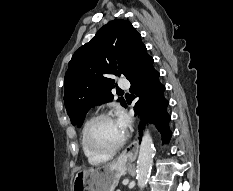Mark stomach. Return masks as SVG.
<instances>
[{
  "instance_id": "obj_1",
  "label": "stomach",
  "mask_w": 233,
  "mask_h": 191,
  "mask_svg": "<svg viewBox=\"0 0 233 191\" xmlns=\"http://www.w3.org/2000/svg\"><path fill=\"white\" fill-rule=\"evenodd\" d=\"M125 171L126 164L122 161L79 170L72 191H114Z\"/></svg>"
}]
</instances>
